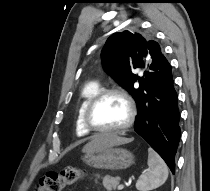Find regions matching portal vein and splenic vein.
<instances>
[{
  "instance_id": "obj_1",
  "label": "portal vein and splenic vein",
  "mask_w": 210,
  "mask_h": 191,
  "mask_svg": "<svg viewBox=\"0 0 210 191\" xmlns=\"http://www.w3.org/2000/svg\"><path fill=\"white\" fill-rule=\"evenodd\" d=\"M124 189V185L123 184H120L119 186H118V190H123Z\"/></svg>"
}]
</instances>
